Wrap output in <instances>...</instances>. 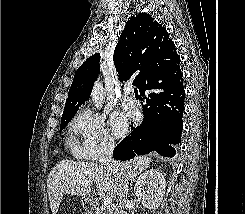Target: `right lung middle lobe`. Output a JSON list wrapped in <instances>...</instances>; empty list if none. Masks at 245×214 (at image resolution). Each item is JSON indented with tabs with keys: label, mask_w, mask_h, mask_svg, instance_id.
Returning a JSON list of instances; mask_svg holds the SVG:
<instances>
[{
	"label": "right lung middle lobe",
	"mask_w": 245,
	"mask_h": 214,
	"mask_svg": "<svg viewBox=\"0 0 245 214\" xmlns=\"http://www.w3.org/2000/svg\"><path fill=\"white\" fill-rule=\"evenodd\" d=\"M74 115H75V113L62 115V120H61V125H60L61 130L69 123V121H71V119L74 117Z\"/></svg>",
	"instance_id": "right-lung-middle-lobe-1"
}]
</instances>
